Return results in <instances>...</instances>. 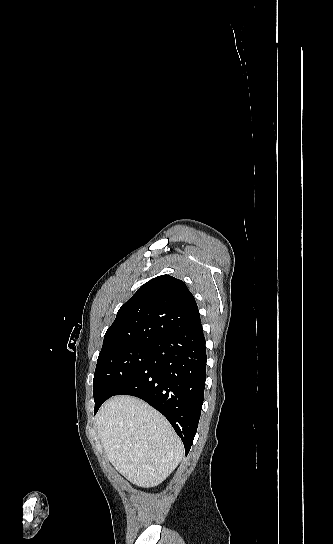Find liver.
<instances>
[{
    "label": "liver",
    "instance_id": "1",
    "mask_svg": "<svg viewBox=\"0 0 333 544\" xmlns=\"http://www.w3.org/2000/svg\"><path fill=\"white\" fill-rule=\"evenodd\" d=\"M96 429L117 471L140 487L162 483L183 457L170 423L142 400L115 396L96 415Z\"/></svg>",
    "mask_w": 333,
    "mask_h": 544
}]
</instances>
